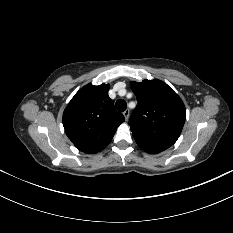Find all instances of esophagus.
Here are the masks:
<instances>
[{"mask_svg":"<svg viewBox=\"0 0 233 233\" xmlns=\"http://www.w3.org/2000/svg\"><path fill=\"white\" fill-rule=\"evenodd\" d=\"M123 115L125 117L126 120H128L129 116H130V110L129 109H126L124 112H123Z\"/></svg>","mask_w":233,"mask_h":233,"instance_id":"obj_1","label":"esophagus"}]
</instances>
